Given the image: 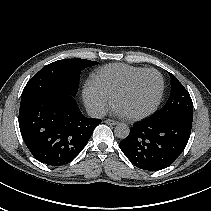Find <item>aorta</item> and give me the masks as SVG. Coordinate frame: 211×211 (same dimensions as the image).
Instances as JSON below:
<instances>
[{"mask_svg":"<svg viewBox=\"0 0 211 211\" xmlns=\"http://www.w3.org/2000/svg\"><path fill=\"white\" fill-rule=\"evenodd\" d=\"M130 129L125 123H119L114 129L115 136L124 139L129 135Z\"/></svg>","mask_w":211,"mask_h":211,"instance_id":"762f6f07","label":"aorta"}]
</instances>
